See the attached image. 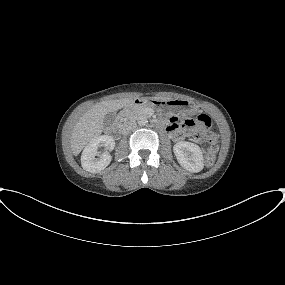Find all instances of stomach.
Segmentation results:
<instances>
[{
  "label": "stomach",
  "instance_id": "stomach-1",
  "mask_svg": "<svg viewBox=\"0 0 285 285\" xmlns=\"http://www.w3.org/2000/svg\"><path fill=\"white\" fill-rule=\"evenodd\" d=\"M143 104L155 109L159 113H178L185 110H193V105L183 99L158 100L147 98L143 100Z\"/></svg>",
  "mask_w": 285,
  "mask_h": 285
}]
</instances>
